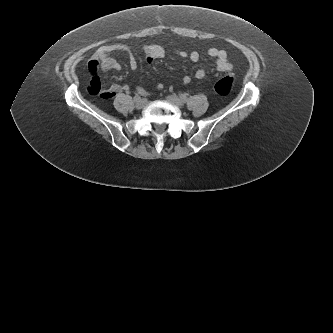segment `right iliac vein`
I'll return each instance as SVG.
<instances>
[{"instance_id": "1", "label": "right iliac vein", "mask_w": 333, "mask_h": 333, "mask_svg": "<svg viewBox=\"0 0 333 333\" xmlns=\"http://www.w3.org/2000/svg\"><path fill=\"white\" fill-rule=\"evenodd\" d=\"M147 105V100L146 99H140L136 101V108L137 109H143Z\"/></svg>"}]
</instances>
